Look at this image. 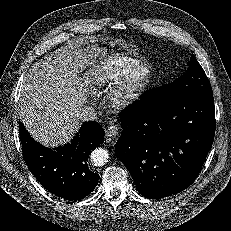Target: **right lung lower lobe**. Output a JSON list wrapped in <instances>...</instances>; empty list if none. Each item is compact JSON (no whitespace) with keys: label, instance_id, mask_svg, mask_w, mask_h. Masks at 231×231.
<instances>
[{"label":"right lung lower lobe","instance_id":"right-lung-lower-lobe-1","mask_svg":"<svg viewBox=\"0 0 231 231\" xmlns=\"http://www.w3.org/2000/svg\"><path fill=\"white\" fill-rule=\"evenodd\" d=\"M19 123L24 160L46 190L64 199L78 200L95 189L99 174L89 169L87 161L90 150L104 140L98 122H85L70 143L56 149L36 142Z\"/></svg>","mask_w":231,"mask_h":231}]
</instances>
